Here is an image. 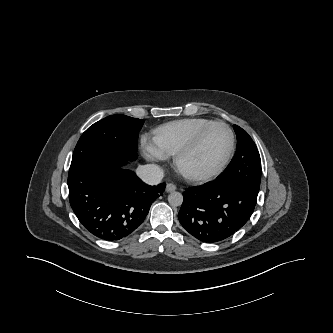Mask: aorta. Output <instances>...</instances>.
<instances>
[{"label": "aorta", "mask_w": 333, "mask_h": 333, "mask_svg": "<svg viewBox=\"0 0 333 333\" xmlns=\"http://www.w3.org/2000/svg\"><path fill=\"white\" fill-rule=\"evenodd\" d=\"M168 202L172 206H180L183 202V196L179 192H172L168 196Z\"/></svg>", "instance_id": "obj_1"}]
</instances>
